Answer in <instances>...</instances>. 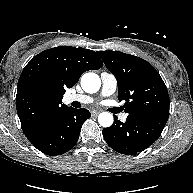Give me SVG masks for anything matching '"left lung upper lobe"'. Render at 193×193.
I'll return each instance as SVG.
<instances>
[{
    "mask_svg": "<svg viewBox=\"0 0 193 193\" xmlns=\"http://www.w3.org/2000/svg\"><path fill=\"white\" fill-rule=\"evenodd\" d=\"M116 77L118 99L124 101L128 119L169 115L167 88L156 69L147 61L120 51H97Z\"/></svg>",
    "mask_w": 193,
    "mask_h": 193,
    "instance_id": "1",
    "label": "left lung upper lobe"
}]
</instances>
